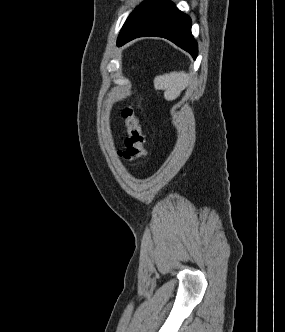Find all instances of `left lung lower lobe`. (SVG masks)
I'll return each instance as SVG.
<instances>
[{"mask_svg":"<svg viewBox=\"0 0 285 332\" xmlns=\"http://www.w3.org/2000/svg\"><path fill=\"white\" fill-rule=\"evenodd\" d=\"M143 36L164 37L188 51L194 59L197 43L191 33V19L168 0H153L119 34L117 46Z\"/></svg>","mask_w":285,"mask_h":332,"instance_id":"0a47b994","label":"left lung lower lobe"}]
</instances>
